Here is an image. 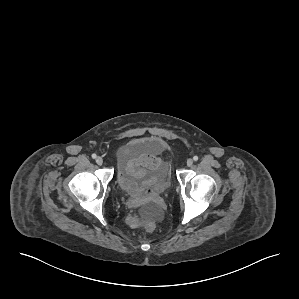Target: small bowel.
Segmentation results:
<instances>
[{
  "instance_id": "obj_1",
  "label": "small bowel",
  "mask_w": 299,
  "mask_h": 299,
  "mask_svg": "<svg viewBox=\"0 0 299 299\" xmlns=\"http://www.w3.org/2000/svg\"><path fill=\"white\" fill-rule=\"evenodd\" d=\"M128 146L123 148L120 154L119 170L117 181L119 185L132 196H137L141 192L152 194L156 191L155 186L148 180L138 183L136 177L144 174V170L138 167L149 168L159 163V158L151 155L141 158H126Z\"/></svg>"
}]
</instances>
